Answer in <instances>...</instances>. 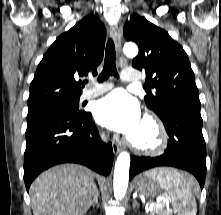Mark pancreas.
<instances>
[{
  "mask_svg": "<svg viewBox=\"0 0 221 215\" xmlns=\"http://www.w3.org/2000/svg\"><path fill=\"white\" fill-rule=\"evenodd\" d=\"M164 206V203H162L160 208H154L152 215H154L155 213L157 215H172V211L165 210Z\"/></svg>",
  "mask_w": 221,
  "mask_h": 215,
  "instance_id": "pancreas-1",
  "label": "pancreas"
}]
</instances>
